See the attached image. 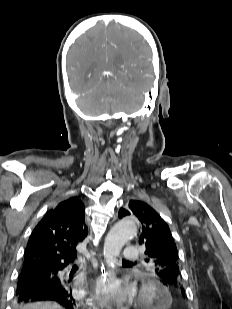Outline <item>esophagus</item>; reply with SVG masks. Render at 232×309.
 Returning a JSON list of instances; mask_svg holds the SVG:
<instances>
[{
	"label": "esophagus",
	"instance_id": "esophagus-1",
	"mask_svg": "<svg viewBox=\"0 0 232 309\" xmlns=\"http://www.w3.org/2000/svg\"><path fill=\"white\" fill-rule=\"evenodd\" d=\"M114 276L105 268L104 264L101 263L99 274L96 278L95 285V299L102 309H109L106 299L102 295L103 286L109 282Z\"/></svg>",
	"mask_w": 232,
	"mask_h": 309
}]
</instances>
